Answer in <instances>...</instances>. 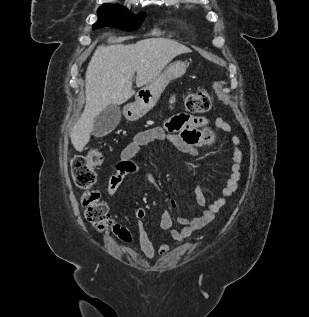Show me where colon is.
Segmentation results:
<instances>
[{"label": "colon", "mask_w": 309, "mask_h": 317, "mask_svg": "<svg viewBox=\"0 0 309 317\" xmlns=\"http://www.w3.org/2000/svg\"><path fill=\"white\" fill-rule=\"evenodd\" d=\"M185 107L192 113H204L210 110L212 100L210 95L201 90L191 93L185 98ZM205 138L213 140L211 131H205ZM101 153L93 149L85 156H77L72 160L71 172L75 184L84 190L82 205L85 208V217L90 224L101 232H113L123 240H128L129 235L125 229L115 224L110 217L108 207L100 201L99 191L93 189L96 182L95 167L102 162Z\"/></svg>", "instance_id": "colon-1"}]
</instances>
